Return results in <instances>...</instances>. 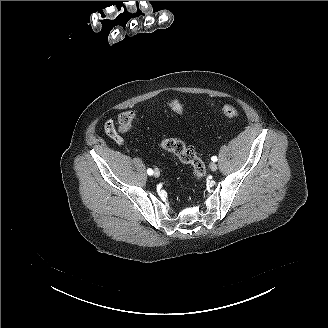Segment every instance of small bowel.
I'll return each mask as SVG.
<instances>
[{"label": "small bowel", "instance_id": "obj_1", "mask_svg": "<svg viewBox=\"0 0 328 328\" xmlns=\"http://www.w3.org/2000/svg\"><path fill=\"white\" fill-rule=\"evenodd\" d=\"M113 126H114L113 121H112V120H108V121L105 123V130L107 131V128H108V127H113ZM114 138H116V137H114ZM117 140H119V139H117Z\"/></svg>", "mask_w": 328, "mask_h": 328}]
</instances>
